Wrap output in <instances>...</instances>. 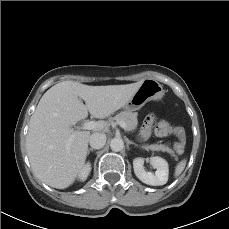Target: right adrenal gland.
<instances>
[{"label":"right adrenal gland","mask_w":229,"mask_h":229,"mask_svg":"<svg viewBox=\"0 0 229 229\" xmlns=\"http://www.w3.org/2000/svg\"><path fill=\"white\" fill-rule=\"evenodd\" d=\"M93 151H94V149L89 148V149L87 150V155H89V154H90V152H93Z\"/></svg>","instance_id":"right-adrenal-gland-1"}]
</instances>
